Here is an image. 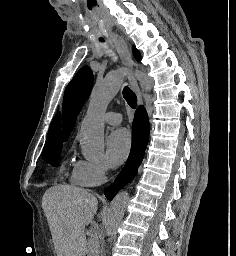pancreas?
<instances>
[{
	"label": "pancreas",
	"instance_id": "cf45deb5",
	"mask_svg": "<svg viewBox=\"0 0 236 256\" xmlns=\"http://www.w3.org/2000/svg\"><path fill=\"white\" fill-rule=\"evenodd\" d=\"M93 223H96V220H93ZM100 227L92 226L90 230V238L88 240V254H97V250H99L100 242L98 238Z\"/></svg>",
	"mask_w": 236,
	"mask_h": 256
}]
</instances>
